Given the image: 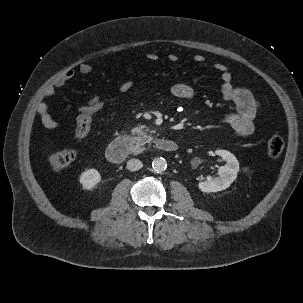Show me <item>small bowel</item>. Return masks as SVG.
I'll use <instances>...</instances> for the list:
<instances>
[{"label":"small bowel","mask_w":303,"mask_h":303,"mask_svg":"<svg viewBox=\"0 0 303 303\" xmlns=\"http://www.w3.org/2000/svg\"><path fill=\"white\" fill-rule=\"evenodd\" d=\"M147 61L156 62L159 57L155 53H149L145 56ZM169 61L175 63L178 61V56L170 54L168 56ZM196 63H203L205 57L201 54H197L193 57ZM214 69L220 73L222 80L221 95L224 101L233 104L234 111L228 113L225 116V121L231 127L235 135L239 137H248L254 131V120L259 112L260 103L250 90L244 87L235 86L233 83V76L228 71L227 66L224 63L218 62L214 64ZM79 71L82 74H89L93 71V66L88 63H82L79 66ZM75 75L73 70H68L58 77L53 84L45 90V96H51L55 93L57 88L63 87L69 80ZM133 81L131 79L125 80L118 86V91L126 93L133 87ZM171 93L173 96L179 99H190L194 96V89L187 83H177L172 86ZM101 95H97L98 97ZM36 112L40 117L42 124L49 129H53L57 126L56 120L49 114L48 106L45 102H40L36 107Z\"/></svg>","instance_id":"c3829d8e"}]
</instances>
